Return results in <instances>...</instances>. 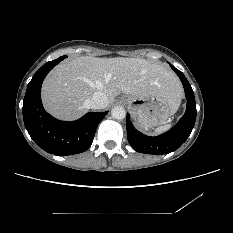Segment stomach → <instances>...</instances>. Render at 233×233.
Returning <instances> with one entry per match:
<instances>
[{"instance_id": "0dacf381", "label": "stomach", "mask_w": 233, "mask_h": 233, "mask_svg": "<svg viewBox=\"0 0 233 233\" xmlns=\"http://www.w3.org/2000/svg\"><path fill=\"white\" fill-rule=\"evenodd\" d=\"M122 101L136 117L138 125L145 129L165 124L178 109L161 95H125Z\"/></svg>"}]
</instances>
